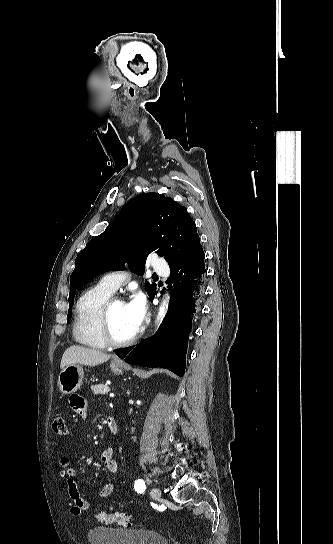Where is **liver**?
Instances as JSON below:
<instances>
[{"label": "liver", "instance_id": "obj_1", "mask_svg": "<svg viewBox=\"0 0 333 544\" xmlns=\"http://www.w3.org/2000/svg\"><path fill=\"white\" fill-rule=\"evenodd\" d=\"M111 355L102 351L73 345L67 348L62 356L60 368L63 369L71 364H82L96 366L110 359Z\"/></svg>", "mask_w": 333, "mask_h": 544}]
</instances>
